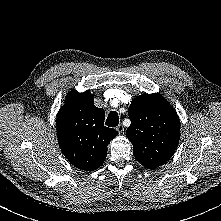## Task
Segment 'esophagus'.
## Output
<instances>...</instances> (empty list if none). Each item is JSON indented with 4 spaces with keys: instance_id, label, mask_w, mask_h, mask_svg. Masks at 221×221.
Here are the masks:
<instances>
[{
    "instance_id": "obj_1",
    "label": "esophagus",
    "mask_w": 221,
    "mask_h": 221,
    "mask_svg": "<svg viewBox=\"0 0 221 221\" xmlns=\"http://www.w3.org/2000/svg\"><path fill=\"white\" fill-rule=\"evenodd\" d=\"M116 130L119 134L123 133L124 131V127L122 124H119L117 127H116Z\"/></svg>"
}]
</instances>
